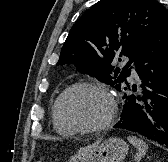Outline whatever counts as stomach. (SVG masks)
<instances>
[{"mask_svg":"<svg viewBox=\"0 0 168 162\" xmlns=\"http://www.w3.org/2000/svg\"><path fill=\"white\" fill-rule=\"evenodd\" d=\"M127 153V143L123 139L111 137L102 144L78 154L69 162H121Z\"/></svg>","mask_w":168,"mask_h":162,"instance_id":"0dacf381","label":"stomach"}]
</instances>
